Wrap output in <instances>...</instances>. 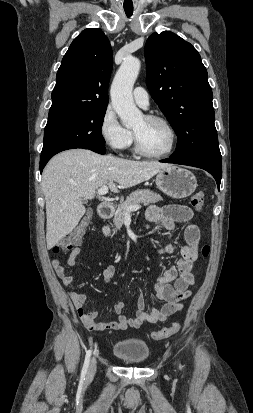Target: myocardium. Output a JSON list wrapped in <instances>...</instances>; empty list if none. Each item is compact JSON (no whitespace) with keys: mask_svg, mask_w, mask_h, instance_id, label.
I'll return each mask as SVG.
<instances>
[{"mask_svg":"<svg viewBox=\"0 0 253 413\" xmlns=\"http://www.w3.org/2000/svg\"><path fill=\"white\" fill-rule=\"evenodd\" d=\"M144 118L148 121L158 122V123L163 124L170 133V144H169L168 148L166 150L162 151V152H159V153L148 152L142 147L137 134L133 131L134 145H135L136 153L143 156V157H146V158H161V157L169 155L174 150V148L176 146V143H177V132H176L174 126L171 124V122L168 119H166L162 116L146 115V116H144Z\"/></svg>","mask_w":253,"mask_h":413,"instance_id":"1","label":"myocardium"}]
</instances>
